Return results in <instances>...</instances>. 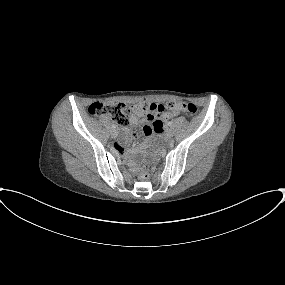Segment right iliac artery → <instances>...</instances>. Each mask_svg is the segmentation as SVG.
Returning <instances> with one entry per match:
<instances>
[{"instance_id":"82829eb1","label":"right iliac artery","mask_w":285,"mask_h":285,"mask_svg":"<svg viewBox=\"0 0 285 285\" xmlns=\"http://www.w3.org/2000/svg\"><path fill=\"white\" fill-rule=\"evenodd\" d=\"M112 128H113V129H116V125H115V124H112Z\"/></svg>"}]
</instances>
